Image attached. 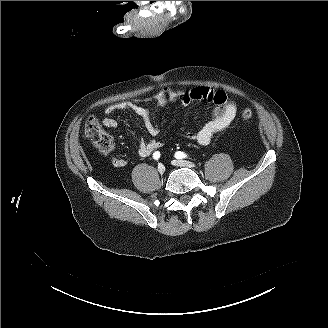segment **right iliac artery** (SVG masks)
I'll use <instances>...</instances> for the list:
<instances>
[{
    "mask_svg": "<svg viewBox=\"0 0 328 328\" xmlns=\"http://www.w3.org/2000/svg\"><path fill=\"white\" fill-rule=\"evenodd\" d=\"M160 157V152H155L154 154H153V158L155 159V160H158V158Z\"/></svg>",
    "mask_w": 328,
    "mask_h": 328,
    "instance_id": "1",
    "label": "right iliac artery"
}]
</instances>
